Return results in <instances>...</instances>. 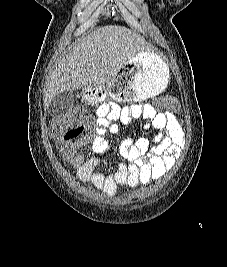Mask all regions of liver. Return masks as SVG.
I'll list each match as a JSON object with an SVG mask.
<instances>
[{
	"label": "liver",
	"instance_id": "obj_1",
	"mask_svg": "<svg viewBox=\"0 0 227 267\" xmlns=\"http://www.w3.org/2000/svg\"><path fill=\"white\" fill-rule=\"evenodd\" d=\"M143 51V39L131 29L114 25L96 28L52 71L44 91V109L64 91L108 84L129 60Z\"/></svg>",
	"mask_w": 227,
	"mask_h": 267
}]
</instances>
